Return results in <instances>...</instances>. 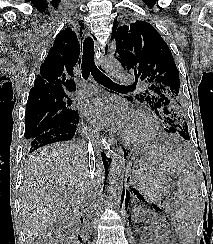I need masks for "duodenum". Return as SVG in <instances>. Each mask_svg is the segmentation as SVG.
<instances>
[{"instance_id":"obj_1","label":"duodenum","mask_w":213,"mask_h":244,"mask_svg":"<svg viewBox=\"0 0 213 244\" xmlns=\"http://www.w3.org/2000/svg\"><path fill=\"white\" fill-rule=\"evenodd\" d=\"M74 244H84V234H83V225L82 223L76 224V234L69 237ZM67 244H71L68 242Z\"/></svg>"}]
</instances>
